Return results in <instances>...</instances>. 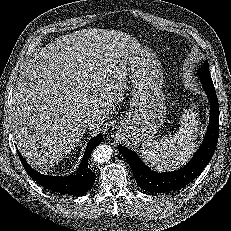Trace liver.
<instances>
[{"mask_svg":"<svg viewBox=\"0 0 231 231\" xmlns=\"http://www.w3.org/2000/svg\"><path fill=\"white\" fill-rule=\"evenodd\" d=\"M140 48L127 33L87 28L55 38L34 56L18 77L10 115L31 166L47 170L60 162L83 138L87 120L104 122L114 112L126 89V61Z\"/></svg>","mask_w":231,"mask_h":231,"instance_id":"6515ba94","label":"liver"}]
</instances>
